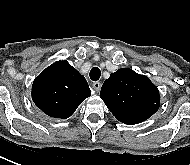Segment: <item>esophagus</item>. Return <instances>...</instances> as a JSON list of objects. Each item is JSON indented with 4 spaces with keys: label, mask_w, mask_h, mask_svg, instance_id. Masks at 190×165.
Returning a JSON list of instances; mask_svg holds the SVG:
<instances>
[{
    "label": "esophagus",
    "mask_w": 190,
    "mask_h": 165,
    "mask_svg": "<svg viewBox=\"0 0 190 165\" xmlns=\"http://www.w3.org/2000/svg\"><path fill=\"white\" fill-rule=\"evenodd\" d=\"M92 87H93V89H94L96 92H99L100 89H101V83L98 82V81H96V82H94V83L92 84Z\"/></svg>",
    "instance_id": "34e87169"
}]
</instances>
